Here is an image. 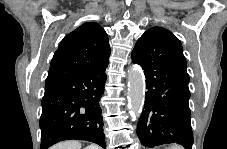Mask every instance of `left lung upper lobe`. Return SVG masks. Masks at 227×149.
<instances>
[{"instance_id": "5c2ea615", "label": "left lung upper lobe", "mask_w": 227, "mask_h": 149, "mask_svg": "<svg viewBox=\"0 0 227 149\" xmlns=\"http://www.w3.org/2000/svg\"><path fill=\"white\" fill-rule=\"evenodd\" d=\"M166 30V29H165ZM172 37L173 41L177 44V46L182 49V45H181V42L179 41V39L174 36L170 31L166 30ZM183 50V49H182Z\"/></svg>"}]
</instances>
